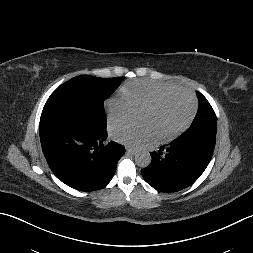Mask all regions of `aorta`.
Instances as JSON below:
<instances>
[{
	"instance_id": "1",
	"label": "aorta",
	"mask_w": 253,
	"mask_h": 253,
	"mask_svg": "<svg viewBox=\"0 0 253 253\" xmlns=\"http://www.w3.org/2000/svg\"><path fill=\"white\" fill-rule=\"evenodd\" d=\"M135 162L141 167L145 168L151 163V155L146 149H139L135 154Z\"/></svg>"
}]
</instances>
